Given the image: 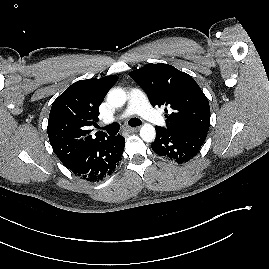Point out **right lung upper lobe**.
Listing matches in <instances>:
<instances>
[{
	"instance_id": "1",
	"label": "right lung upper lobe",
	"mask_w": 269,
	"mask_h": 269,
	"mask_svg": "<svg viewBox=\"0 0 269 269\" xmlns=\"http://www.w3.org/2000/svg\"><path fill=\"white\" fill-rule=\"evenodd\" d=\"M117 80V76L111 75L77 81L53 102L47 133L53 151L64 166L108 137L104 132H97L96 137H92L89 128L97 125L99 106Z\"/></svg>"
}]
</instances>
